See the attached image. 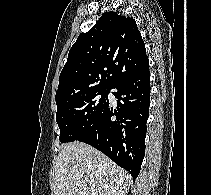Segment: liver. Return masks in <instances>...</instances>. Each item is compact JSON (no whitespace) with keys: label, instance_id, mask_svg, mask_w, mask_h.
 Masks as SVG:
<instances>
[{"label":"liver","instance_id":"obj_1","mask_svg":"<svg viewBox=\"0 0 211 195\" xmlns=\"http://www.w3.org/2000/svg\"><path fill=\"white\" fill-rule=\"evenodd\" d=\"M130 174L83 142L62 145L54 170V195H126Z\"/></svg>","mask_w":211,"mask_h":195}]
</instances>
